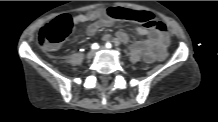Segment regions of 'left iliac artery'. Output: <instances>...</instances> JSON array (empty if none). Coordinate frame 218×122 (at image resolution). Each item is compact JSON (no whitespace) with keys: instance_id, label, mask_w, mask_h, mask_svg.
I'll use <instances>...</instances> for the list:
<instances>
[{"instance_id":"44dca946","label":"left iliac artery","mask_w":218,"mask_h":122,"mask_svg":"<svg viewBox=\"0 0 218 122\" xmlns=\"http://www.w3.org/2000/svg\"><path fill=\"white\" fill-rule=\"evenodd\" d=\"M106 47L110 49V48H112V44L110 42H107Z\"/></svg>"}]
</instances>
